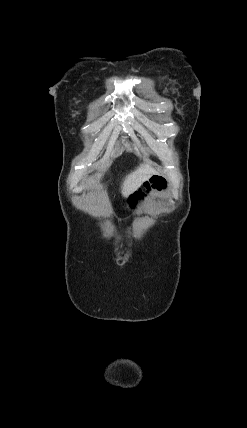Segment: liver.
Wrapping results in <instances>:
<instances>
[{
	"label": "liver",
	"instance_id": "1",
	"mask_svg": "<svg viewBox=\"0 0 247 428\" xmlns=\"http://www.w3.org/2000/svg\"><path fill=\"white\" fill-rule=\"evenodd\" d=\"M156 171L148 164L141 165L135 171L126 176L122 185V194L127 196L134 192L141 184Z\"/></svg>",
	"mask_w": 247,
	"mask_h": 428
}]
</instances>
